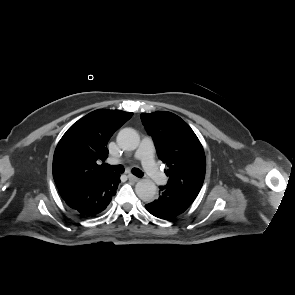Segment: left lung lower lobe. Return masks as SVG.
Returning a JSON list of instances; mask_svg holds the SVG:
<instances>
[{"instance_id":"0a47b994","label":"left lung lower lobe","mask_w":295,"mask_h":295,"mask_svg":"<svg viewBox=\"0 0 295 295\" xmlns=\"http://www.w3.org/2000/svg\"><path fill=\"white\" fill-rule=\"evenodd\" d=\"M159 198L145 205L153 216L171 220L182 214L196 199L197 196L160 186Z\"/></svg>"}]
</instances>
